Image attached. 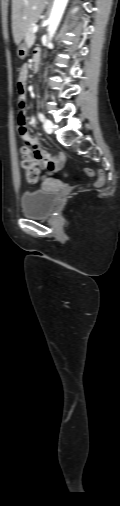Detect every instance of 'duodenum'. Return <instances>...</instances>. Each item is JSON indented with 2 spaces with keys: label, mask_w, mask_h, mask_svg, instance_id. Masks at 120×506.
Segmentation results:
<instances>
[{
  "label": "duodenum",
  "mask_w": 120,
  "mask_h": 506,
  "mask_svg": "<svg viewBox=\"0 0 120 506\" xmlns=\"http://www.w3.org/2000/svg\"><path fill=\"white\" fill-rule=\"evenodd\" d=\"M33 61H34L35 67H37L38 64H39V62H40V53L39 52H37L36 54H34Z\"/></svg>",
  "instance_id": "obj_1"
}]
</instances>
